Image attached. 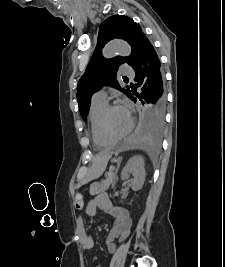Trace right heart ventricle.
<instances>
[{
    "label": "right heart ventricle",
    "instance_id": "right-heart-ventricle-1",
    "mask_svg": "<svg viewBox=\"0 0 225 267\" xmlns=\"http://www.w3.org/2000/svg\"><path fill=\"white\" fill-rule=\"evenodd\" d=\"M106 105V101L92 100L88 114L89 133L93 144L99 148H106L114 145L113 142L103 137L99 129V118Z\"/></svg>",
    "mask_w": 225,
    "mask_h": 267
}]
</instances>
